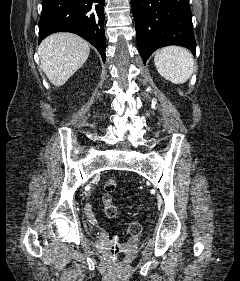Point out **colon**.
Returning <instances> with one entry per match:
<instances>
[{
  "mask_svg": "<svg viewBox=\"0 0 240 281\" xmlns=\"http://www.w3.org/2000/svg\"><path fill=\"white\" fill-rule=\"evenodd\" d=\"M117 189V182L113 178H109L106 180L104 184V212L107 217L115 218L118 214V208L116 204L113 202V194ZM128 233L132 235H137L142 230V225L138 221H131L127 227ZM110 254L113 257V260L116 264H121L122 259L120 258V249L117 245H113L110 248Z\"/></svg>",
  "mask_w": 240,
  "mask_h": 281,
  "instance_id": "5ec220e1",
  "label": "colon"
}]
</instances>
